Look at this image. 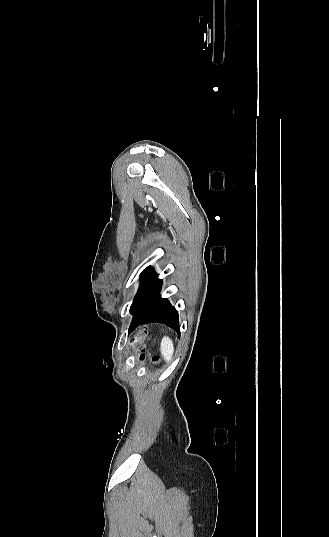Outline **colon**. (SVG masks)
Here are the masks:
<instances>
[{
    "label": "colon",
    "instance_id": "colon-1",
    "mask_svg": "<svg viewBox=\"0 0 329 537\" xmlns=\"http://www.w3.org/2000/svg\"><path fill=\"white\" fill-rule=\"evenodd\" d=\"M132 347L134 349V353L136 355V357L141 360L143 357V351H144V344H143V341H142V337L141 336H138L133 342H132Z\"/></svg>",
    "mask_w": 329,
    "mask_h": 537
}]
</instances>
